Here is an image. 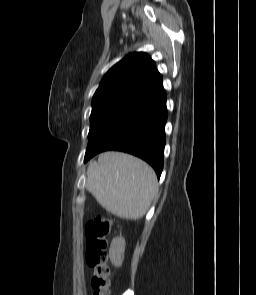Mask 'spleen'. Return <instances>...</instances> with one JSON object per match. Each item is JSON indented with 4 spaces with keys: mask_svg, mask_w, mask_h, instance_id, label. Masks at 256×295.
Masks as SVG:
<instances>
[{
    "mask_svg": "<svg viewBox=\"0 0 256 295\" xmlns=\"http://www.w3.org/2000/svg\"><path fill=\"white\" fill-rule=\"evenodd\" d=\"M86 188L112 214L131 220L145 215L157 190L153 169L144 161L120 152H105L91 162Z\"/></svg>",
    "mask_w": 256,
    "mask_h": 295,
    "instance_id": "spleen-1",
    "label": "spleen"
}]
</instances>
